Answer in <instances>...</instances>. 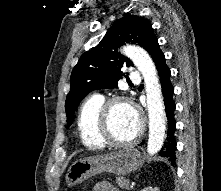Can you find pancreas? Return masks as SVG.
Returning a JSON list of instances; mask_svg holds the SVG:
<instances>
[{"label": "pancreas", "instance_id": "pancreas-1", "mask_svg": "<svg viewBox=\"0 0 221 191\" xmlns=\"http://www.w3.org/2000/svg\"><path fill=\"white\" fill-rule=\"evenodd\" d=\"M116 182L120 188L130 190L129 179L124 178V177H117Z\"/></svg>", "mask_w": 221, "mask_h": 191}]
</instances>
